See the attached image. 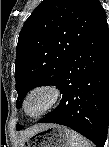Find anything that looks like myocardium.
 <instances>
[{
    "instance_id": "obj_1",
    "label": "myocardium",
    "mask_w": 109,
    "mask_h": 147,
    "mask_svg": "<svg viewBox=\"0 0 109 147\" xmlns=\"http://www.w3.org/2000/svg\"><path fill=\"white\" fill-rule=\"evenodd\" d=\"M34 94H45L48 97V101L37 114H30L27 109V101ZM61 96L62 94L60 89L53 84H43L36 86L33 89H31L24 98L23 101L24 112L31 117H35V118L40 117L51 111L59 103Z\"/></svg>"
}]
</instances>
